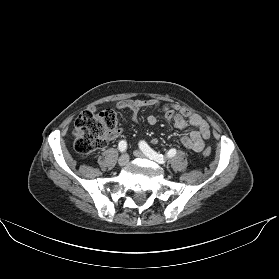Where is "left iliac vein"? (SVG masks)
I'll return each instance as SVG.
<instances>
[{"label": "left iliac vein", "mask_w": 279, "mask_h": 279, "mask_svg": "<svg viewBox=\"0 0 279 279\" xmlns=\"http://www.w3.org/2000/svg\"><path fill=\"white\" fill-rule=\"evenodd\" d=\"M133 154H134L135 157H138V158H145V157H146V156H145L141 151H139V150H135V151L133 152Z\"/></svg>", "instance_id": "1"}]
</instances>
